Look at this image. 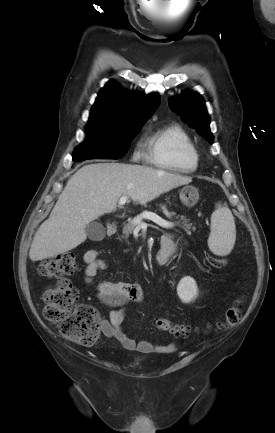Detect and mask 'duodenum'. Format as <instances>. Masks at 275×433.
Instances as JSON below:
<instances>
[{"mask_svg": "<svg viewBox=\"0 0 275 433\" xmlns=\"http://www.w3.org/2000/svg\"><path fill=\"white\" fill-rule=\"evenodd\" d=\"M117 225L114 222H109L107 224V234L109 236H113L116 234ZM170 251V247L166 244H161V248L159 252L156 254L155 260L158 265H164L168 262V253Z\"/></svg>", "mask_w": 275, "mask_h": 433, "instance_id": "410a0bca", "label": "duodenum"}]
</instances>
